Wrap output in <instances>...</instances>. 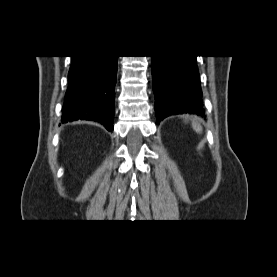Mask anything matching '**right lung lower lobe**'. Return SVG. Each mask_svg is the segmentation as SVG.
Listing matches in <instances>:
<instances>
[{"mask_svg":"<svg viewBox=\"0 0 277 277\" xmlns=\"http://www.w3.org/2000/svg\"><path fill=\"white\" fill-rule=\"evenodd\" d=\"M118 56H72L62 123L93 120L113 130Z\"/></svg>","mask_w":277,"mask_h":277,"instance_id":"obj_1","label":"right lung lower lobe"}]
</instances>
